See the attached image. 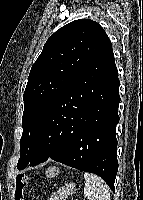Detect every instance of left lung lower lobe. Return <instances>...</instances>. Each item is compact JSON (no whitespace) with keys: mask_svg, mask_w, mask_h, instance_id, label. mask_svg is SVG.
<instances>
[{"mask_svg":"<svg viewBox=\"0 0 143 200\" xmlns=\"http://www.w3.org/2000/svg\"><path fill=\"white\" fill-rule=\"evenodd\" d=\"M119 84L110 42L44 114L28 165L51 158L99 175L114 191Z\"/></svg>","mask_w":143,"mask_h":200,"instance_id":"0a47b994","label":"left lung lower lobe"}]
</instances>
